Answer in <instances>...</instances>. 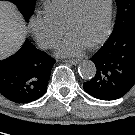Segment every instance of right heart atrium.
Wrapping results in <instances>:
<instances>
[{"instance_id":"obj_1","label":"right heart atrium","mask_w":135,"mask_h":135,"mask_svg":"<svg viewBox=\"0 0 135 135\" xmlns=\"http://www.w3.org/2000/svg\"><path fill=\"white\" fill-rule=\"evenodd\" d=\"M30 31L43 48H53L62 36L58 27L44 12L34 15L30 21Z\"/></svg>"}]
</instances>
